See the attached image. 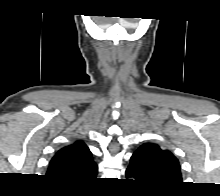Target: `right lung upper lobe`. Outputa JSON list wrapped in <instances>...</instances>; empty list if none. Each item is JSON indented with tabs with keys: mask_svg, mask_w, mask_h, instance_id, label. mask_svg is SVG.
Instances as JSON below:
<instances>
[{
	"mask_svg": "<svg viewBox=\"0 0 220 196\" xmlns=\"http://www.w3.org/2000/svg\"><path fill=\"white\" fill-rule=\"evenodd\" d=\"M92 154L82 141L60 149L52 158L47 177L69 184H82L97 174Z\"/></svg>",
	"mask_w": 220,
	"mask_h": 196,
	"instance_id": "obj_1",
	"label": "right lung upper lobe"
}]
</instances>
